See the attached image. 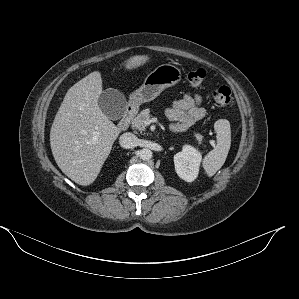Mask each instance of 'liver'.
Instances as JSON below:
<instances>
[{
    "label": "liver",
    "instance_id": "liver-1",
    "mask_svg": "<svg viewBox=\"0 0 299 299\" xmlns=\"http://www.w3.org/2000/svg\"><path fill=\"white\" fill-rule=\"evenodd\" d=\"M149 59L148 55L132 56L125 61V68L133 70ZM101 93L99 71L78 81L67 91L50 131L57 165L68 178L83 186L95 181L120 133L98 105Z\"/></svg>",
    "mask_w": 299,
    "mask_h": 299
}]
</instances>
